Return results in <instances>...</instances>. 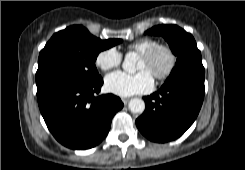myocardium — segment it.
<instances>
[{
	"label": "myocardium",
	"mask_w": 245,
	"mask_h": 170,
	"mask_svg": "<svg viewBox=\"0 0 245 170\" xmlns=\"http://www.w3.org/2000/svg\"><path fill=\"white\" fill-rule=\"evenodd\" d=\"M161 51L168 55L169 63L164 71L155 74L154 77L158 80H165L172 74L177 64V55L169 45L158 43L148 51L141 53L140 57L145 60H152Z\"/></svg>",
	"instance_id": "myocardium-1"
}]
</instances>
